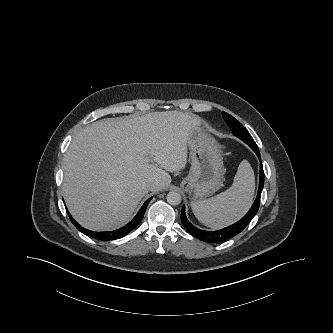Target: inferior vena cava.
<instances>
[{
  "label": "inferior vena cava",
  "mask_w": 333,
  "mask_h": 333,
  "mask_svg": "<svg viewBox=\"0 0 333 333\" xmlns=\"http://www.w3.org/2000/svg\"><path fill=\"white\" fill-rule=\"evenodd\" d=\"M153 185H154V182H153V181H149V182L147 183V187H148V188L152 187Z\"/></svg>",
  "instance_id": "602c4592"
}]
</instances>
